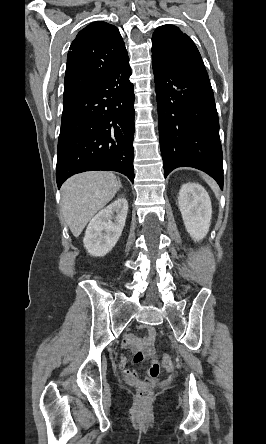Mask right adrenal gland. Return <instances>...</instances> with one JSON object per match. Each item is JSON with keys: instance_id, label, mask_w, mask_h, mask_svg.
I'll list each match as a JSON object with an SVG mask.
<instances>
[{"instance_id": "obj_1", "label": "right adrenal gland", "mask_w": 266, "mask_h": 444, "mask_svg": "<svg viewBox=\"0 0 266 444\" xmlns=\"http://www.w3.org/2000/svg\"><path fill=\"white\" fill-rule=\"evenodd\" d=\"M119 183H120V188H122L121 182H119Z\"/></svg>"}]
</instances>
